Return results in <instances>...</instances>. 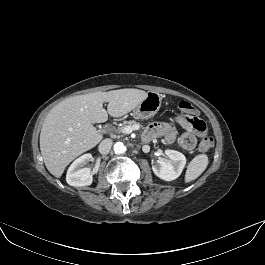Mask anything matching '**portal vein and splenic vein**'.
Here are the masks:
<instances>
[{
	"mask_svg": "<svg viewBox=\"0 0 265 265\" xmlns=\"http://www.w3.org/2000/svg\"><path fill=\"white\" fill-rule=\"evenodd\" d=\"M133 130H134L133 126H126V127H124L122 132L125 134H130V133H132ZM103 132H106V130H103Z\"/></svg>",
	"mask_w": 265,
	"mask_h": 265,
	"instance_id": "18ae733b",
	"label": "portal vein and splenic vein"
}]
</instances>
